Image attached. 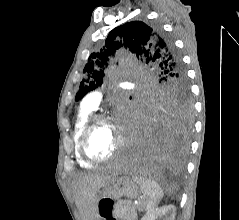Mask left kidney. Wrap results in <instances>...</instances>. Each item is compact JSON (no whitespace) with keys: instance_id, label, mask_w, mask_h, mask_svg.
<instances>
[{"instance_id":"5707ae66","label":"left kidney","mask_w":239,"mask_h":220,"mask_svg":"<svg viewBox=\"0 0 239 220\" xmlns=\"http://www.w3.org/2000/svg\"><path fill=\"white\" fill-rule=\"evenodd\" d=\"M175 215L176 207L174 205H166L148 210L141 220H175Z\"/></svg>"}]
</instances>
